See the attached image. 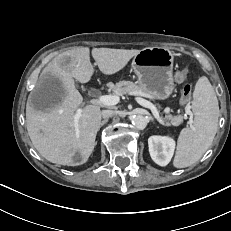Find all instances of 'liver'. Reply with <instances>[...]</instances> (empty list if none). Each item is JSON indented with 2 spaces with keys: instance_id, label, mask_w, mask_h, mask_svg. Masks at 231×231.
I'll return each instance as SVG.
<instances>
[{
  "instance_id": "6515ba94",
  "label": "liver",
  "mask_w": 231,
  "mask_h": 231,
  "mask_svg": "<svg viewBox=\"0 0 231 231\" xmlns=\"http://www.w3.org/2000/svg\"><path fill=\"white\" fill-rule=\"evenodd\" d=\"M141 50L93 48L91 53L99 70L112 75L122 70ZM94 73L90 49L76 47L57 55L41 72L37 85L53 83L52 103L26 105V124L29 137L46 160L68 166L84 164L95 148V139L101 123L98 105H86L76 124L75 114L83 97L75 87L74 79L90 81Z\"/></svg>"
}]
</instances>
